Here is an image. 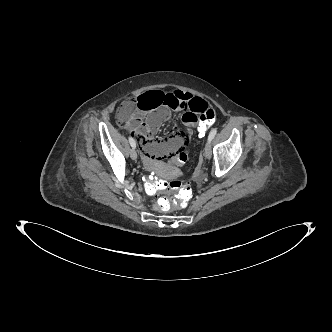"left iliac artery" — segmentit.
I'll return each instance as SVG.
<instances>
[{
	"mask_svg": "<svg viewBox=\"0 0 332 332\" xmlns=\"http://www.w3.org/2000/svg\"><path fill=\"white\" fill-rule=\"evenodd\" d=\"M216 134H217V129H213L208 136V140L212 141V139L215 137Z\"/></svg>",
	"mask_w": 332,
	"mask_h": 332,
	"instance_id": "44dca946",
	"label": "left iliac artery"
}]
</instances>
